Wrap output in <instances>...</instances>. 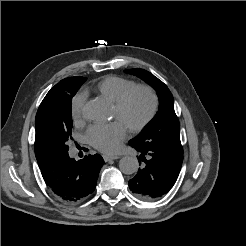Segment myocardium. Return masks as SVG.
<instances>
[{
    "label": "myocardium",
    "mask_w": 246,
    "mask_h": 246,
    "mask_svg": "<svg viewBox=\"0 0 246 246\" xmlns=\"http://www.w3.org/2000/svg\"><path fill=\"white\" fill-rule=\"evenodd\" d=\"M140 92L146 93L151 101V106L147 115L137 123L128 126L130 131L137 133L145 129L155 118L159 109V96L154 88L149 85H137L134 88L126 92L121 98H119L115 103L114 107L119 111L123 112L134 96Z\"/></svg>",
    "instance_id": "myocardium-1"
}]
</instances>
